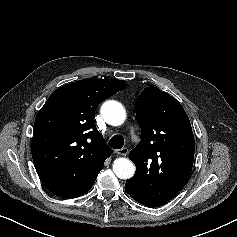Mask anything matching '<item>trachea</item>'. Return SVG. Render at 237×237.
<instances>
[{
    "label": "trachea",
    "mask_w": 237,
    "mask_h": 237,
    "mask_svg": "<svg viewBox=\"0 0 237 237\" xmlns=\"http://www.w3.org/2000/svg\"><path fill=\"white\" fill-rule=\"evenodd\" d=\"M108 145L113 149H121L124 145L122 135H114L108 142Z\"/></svg>",
    "instance_id": "obj_1"
}]
</instances>
